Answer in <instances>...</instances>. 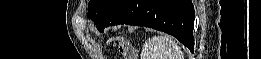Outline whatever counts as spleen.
I'll list each match as a JSON object with an SVG mask.
<instances>
[{"label":"spleen","instance_id":"obj_1","mask_svg":"<svg viewBox=\"0 0 261 59\" xmlns=\"http://www.w3.org/2000/svg\"><path fill=\"white\" fill-rule=\"evenodd\" d=\"M142 59H182L183 52L168 36H153L145 41Z\"/></svg>","mask_w":261,"mask_h":59}]
</instances>
